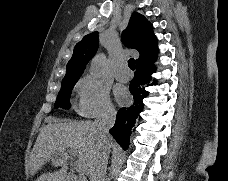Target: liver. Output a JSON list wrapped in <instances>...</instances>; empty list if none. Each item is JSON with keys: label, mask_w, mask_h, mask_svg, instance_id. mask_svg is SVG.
Listing matches in <instances>:
<instances>
[{"label": "liver", "mask_w": 228, "mask_h": 181, "mask_svg": "<svg viewBox=\"0 0 228 181\" xmlns=\"http://www.w3.org/2000/svg\"><path fill=\"white\" fill-rule=\"evenodd\" d=\"M43 129H41L36 143L29 157L30 175H36L37 171L51 163L53 167H61L56 173H43L38 181L43 179H64L66 181L68 171V161L70 159L68 151H78V165L90 167L91 161L100 149L102 143L95 133L94 123L91 121H60L54 117H47ZM110 147H113L112 137L107 139Z\"/></svg>", "instance_id": "liver-1"}]
</instances>
